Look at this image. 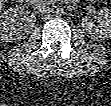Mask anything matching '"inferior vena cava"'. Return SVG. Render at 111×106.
<instances>
[{
	"instance_id": "obj_1",
	"label": "inferior vena cava",
	"mask_w": 111,
	"mask_h": 106,
	"mask_svg": "<svg viewBox=\"0 0 111 106\" xmlns=\"http://www.w3.org/2000/svg\"><path fill=\"white\" fill-rule=\"evenodd\" d=\"M34 8L36 11L41 12V13H46L49 11V7L47 6L46 1L38 0L34 3Z\"/></svg>"
}]
</instances>
